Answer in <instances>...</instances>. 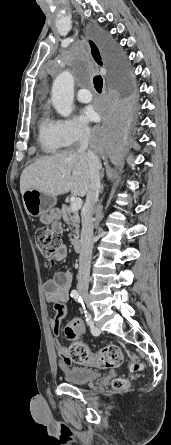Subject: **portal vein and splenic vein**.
<instances>
[{
	"instance_id": "1",
	"label": "portal vein and splenic vein",
	"mask_w": 171,
	"mask_h": 445,
	"mask_svg": "<svg viewBox=\"0 0 171 445\" xmlns=\"http://www.w3.org/2000/svg\"><path fill=\"white\" fill-rule=\"evenodd\" d=\"M82 206V200L81 198H75L71 203V210L72 211H78Z\"/></svg>"
}]
</instances>
